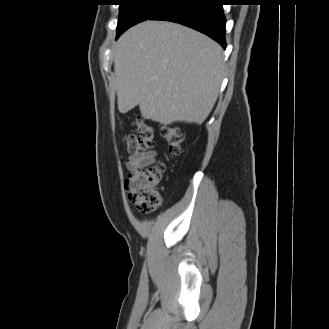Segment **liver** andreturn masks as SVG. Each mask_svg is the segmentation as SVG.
<instances>
[{
    "instance_id": "1",
    "label": "liver",
    "mask_w": 329,
    "mask_h": 329,
    "mask_svg": "<svg viewBox=\"0 0 329 329\" xmlns=\"http://www.w3.org/2000/svg\"><path fill=\"white\" fill-rule=\"evenodd\" d=\"M120 113L139 105L145 119L164 125L201 124L223 79L218 43L180 24L145 21L127 30L114 54Z\"/></svg>"
}]
</instances>
